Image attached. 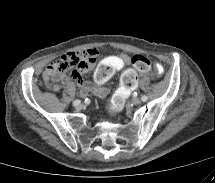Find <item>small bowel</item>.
<instances>
[{
  "label": "small bowel",
  "mask_w": 215,
  "mask_h": 183,
  "mask_svg": "<svg viewBox=\"0 0 215 183\" xmlns=\"http://www.w3.org/2000/svg\"><path fill=\"white\" fill-rule=\"evenodd\" d=\"M99 49L90 47L80 52L69 53L62 56L61 59L76 60L79 65L75 66L71 71V76L76 80L82 95H86L92 91L96 96L103 97L108 93L105 84L116 73H119L124 64L130 61V57L122 54L111 55L106 60H103L99 67L94 70V73L86 82L82 79V75L91 71L99 57ZM59 60L50 64L43 73L45 85L50 90H58V81L68 82L69 75L65 71L59 70Z\"/></svg>",
  "instance_id": "obj_1"
}]
</instances>
